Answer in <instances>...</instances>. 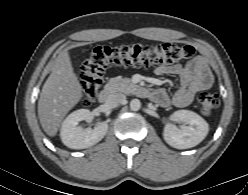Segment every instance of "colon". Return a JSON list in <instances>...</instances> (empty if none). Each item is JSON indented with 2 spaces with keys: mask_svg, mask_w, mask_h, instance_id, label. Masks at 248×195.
Returning <instances> with one entry per match:
<instances>
[{
  "mask_svg": "<svg viewBox=\"0 0 248 195\" xmlns=\"http://www.w3.org/2000/svg\"><path fill=\"white\" fill-rule=\"evenodd\" d=\"M195 54L191 45L163 42L152 46L139 44L119 47L97 46L83 63L81 71V103L89 106L103 85L104 72L108 68L151 67L170 65L190 59ZM200 112L209 117L219 105L215 93L201 92L198 97Z\"/></svg>",
  "mask_w": 248,
  "mask_h": 195,
  "instance_id": "5ec220e1",
  "label": "colon"
}]
</instances>
